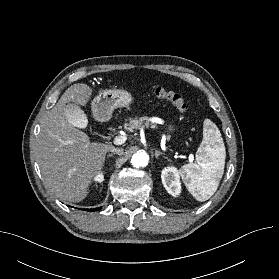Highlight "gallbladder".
Returning <instances> with one entry per match:
<instances>
[{"mask_svg":"<svg viewBox=\"0 0 279 279\" xmlns=\"http://www.w3.org/2000/svg\"><path fill=\"white\" fill-rule=\"evenodd\" d=\"M68 120L76 127H85V117L82 110L75 104H68L65 107Z\"/></svg>","mask_w":279,"mask_h":279,"instance_id":"obj_1","label":"gallbladder"}]
</instances>
